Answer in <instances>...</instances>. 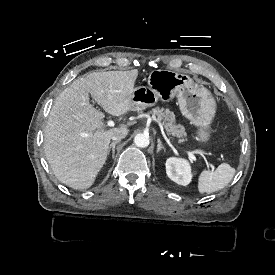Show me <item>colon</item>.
I'll use <instances>...</instances> for the list:
<instances>
[{
  "label": "colon",
  "instance_id": "5ec220e1",
  "mask_svg": "<svg viewBox=\"0 0 275 275\" xmlns=\"http://www.w3.org/2000/svg\"><path fill=\"white\" fill-rule=\"evenodd\" d=\"M223 107H224V109H226L227 115H229V116L234 115L235 110H234V108H232L231 102H229V101L224 102Z\"/></svg>",
  "mask_w": 275,
  "mask_h": 275
}]
</instances>
